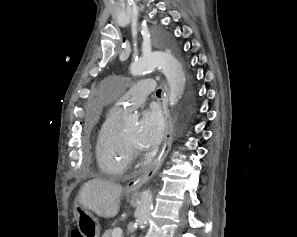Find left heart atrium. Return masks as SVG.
I'll use <instances>...</instances> for the list:
<instances>
[{"label": "left heart atrium", "mask_w": 297, "mask_h": 237, "mask_svg": "<svg viewBox=\"0 0 297 237\" xmlns=\"http://www.w3.org/2000/svg\"><path fill=\"white\" fill-rule=\"evenodd\" d=\"M164 134V120L160 111L149 108L142 112L138 126V145L148 150L156 148Z\"/></svg>", "instance_id": "1"}]
</instances>
